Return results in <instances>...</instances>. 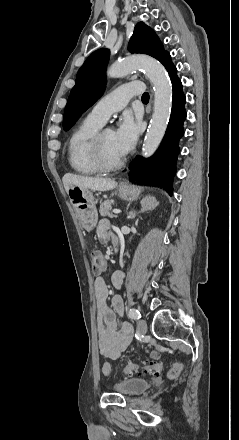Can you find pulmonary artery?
Here are the masks:
<instances>
[{"label": "pulmonary artery", "instance_id": "obj_1", "mask_svg": "<svg viewBox=\"0 0 239 440\" xmlns=\"http://www.w3.org/2000/svg\"><path fill=\"white\" fill-rule=\"evenodd\" d=\"M143 90L144 85L138 81L122 85L98 100L88 117L99 124H104L112 113L124 108L132 96L142 93Z\"/></svg>", "mask_w": 239, "mask_h": 440}]
</instances>
